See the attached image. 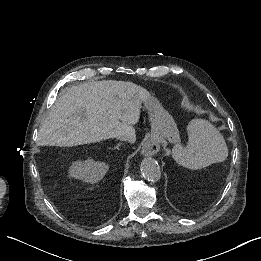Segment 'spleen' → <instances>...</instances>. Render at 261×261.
Returning <instances> with one entry per match:
<instances>
[{"mask_svg":"<svg viewBox=\"0 0 261 261\" xmlns=\"http://www.w3.org/2000/svg\"><path fill=\"white\" fill-rule=\"evenodd\" d=\"M189 141L181 148L177 162L189 169H201L228 157L223 135L208 120L193 119L187 126ZM180 147V146H178Z\"/></svg>","mask_w":261,"mask_h":261,"instance_id":"3e777b00","label":"spleen"}]
</instances>
